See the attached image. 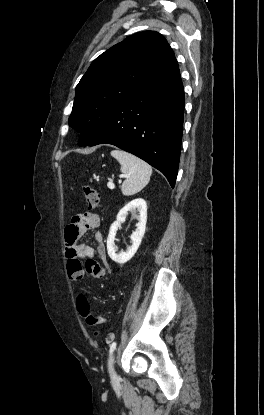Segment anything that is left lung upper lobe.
Returning a JSON list of instances; mask_svg holds the SVG:
<instances>
[{
  "instance_id": "left-lung-upper-lobe-1",
  "label": "left lung upper lobe",
  "mask_w": 264,
  "mask_h": 415,
  "mask_svg": "<svg viewBox=\"0 0 264 415\" xmlns=\"http://www.w3.org/2000/svg\"><path fill=\"white\" fill-rule=\"evenodd\" d=\"M177 67L173 50L156 31L131 35L102 53L76 86L68 121L81 132L79 145L121 102Z\"/></svg>"
}]
</instances>
